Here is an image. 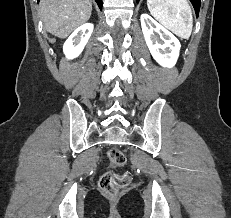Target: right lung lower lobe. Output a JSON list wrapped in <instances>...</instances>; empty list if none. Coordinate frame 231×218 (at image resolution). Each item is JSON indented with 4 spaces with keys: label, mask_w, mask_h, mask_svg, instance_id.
I'll use <instances>...</instances> for the list:
<instances>
[{
    "label": "right lung lower lobe",
    "mask_w": 231,
    "mask_h": 218,
    "mask_svg": "<svg viewBox=\"0 0 231 218\" xmlns=\"http://www.w3.org/2000/svg\"><path fill=\"white\" fill-rule=\"evenodd\" d=\"M39 1V0H38ZM100 9H102V0H95Z\"/></svg>",
    "instance_id": "right-lung-lower-lobe-1"
}]
</instances>
